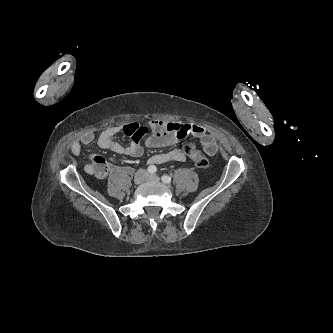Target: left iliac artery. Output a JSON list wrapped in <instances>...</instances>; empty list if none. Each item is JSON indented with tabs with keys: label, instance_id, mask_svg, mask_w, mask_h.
I'll list each match as a JSON object with an SVG mask.
<instances>
[{
	"label": "left iliac artery",
	"instance_id": "left-iliac-artery-1",
	"mask_svg": "<svg viewBox=\"0 0 333 333\" xmlns=\"http://www.w3.org/2000/svg\"><path fill=\"white\" fill-rule=\"evenodd\" d=\"M162 181H163L164 183L169 184V183L171 182V177L168 176V175H163V176H162Z\"/></svg>",
	"mask_w": 333,
	"mask_h": 333
}]
</instances>
